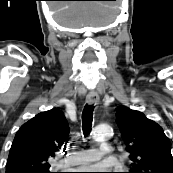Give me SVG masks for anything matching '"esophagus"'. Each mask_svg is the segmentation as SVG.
I'll use <instances>...</instances> for the list:
<instances>
[{"mask_svg": "<svg viewBox=\"0 0 173 173\" xmlns=\"http://www.w3.org/2000/svg\"><path fill=\"white\" fill-rule=\"evenodd\" d=\"M99 102V96L96 92H90L86 97V103L88 105H97Z\"/></svg>", "mask_w": 173, "mask_h": 173, "instance_id": "34e87169", "label": "esophagus"}]
</instances>
